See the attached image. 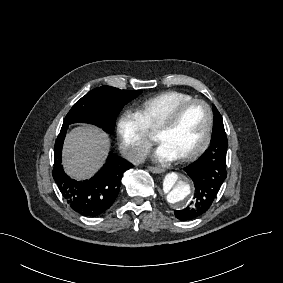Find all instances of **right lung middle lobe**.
<instances>
[{
    "label": "right lung middle lobe",
    "mask_w": 283,
    "mask_h": 283,
    "mask_svg": "<svg viewBox=\"0 0 283 283\" xmlns=\"http://www.w3.org/2000/svg\"><path fill=\"white\" fill-rule=\"evenodd\" d=\"M142 93V90H120L110 86L97 87L70 109L63 125L85 122L101 127L107 133H112L116 118L128 102Z\"/></svg>",
    "instance_id": "right-lung-middle-lobe-1"
}]
</instances>
